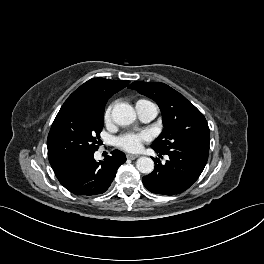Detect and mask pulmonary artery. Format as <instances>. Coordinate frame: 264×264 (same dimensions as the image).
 <instances>
[{
    "instance_id": "1",
    "label": "pulmonary artery",
    "mask_w": 264,
    "mask_h": 264,
    "mask_svg": "<svg viewBox=\"0 0 264 264\" xmlns=\"http://www.w3.org/2000/svg\"><path fill=\"white\" fill-rule=\"evenodd\" d=\"M136 110L139 118L143 122H149L153 120L158 113L157 107L151 102L142 103L136 106Z\"/></svg>"
}]
</instances>
